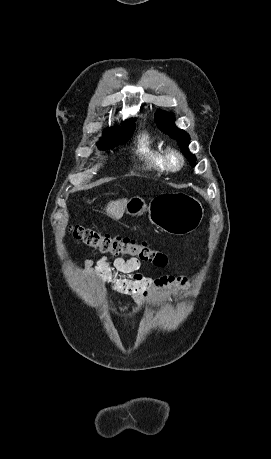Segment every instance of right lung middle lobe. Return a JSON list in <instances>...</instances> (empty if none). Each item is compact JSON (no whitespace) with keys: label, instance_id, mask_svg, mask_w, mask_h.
Returning <instances> with one entry per match:
<instances>
[{"label":"right lung middle lobe","instance_id":"obj_1","mask_svg":"<svg viewBox=\"0 0 271 459\" xmlns=\"http://www.w3.org/2000/svg\"><path fill=\"white\" fill-rule=\"evenodd\" d=\"M135 129L134 121L126 122L122 129L114 130L112 128L104 131V137L98 144L100 149L113 148L119 144H122L130 139L132 132Z\"/></svg>","mask_w":271,"mask_h":459}]
</instances>
